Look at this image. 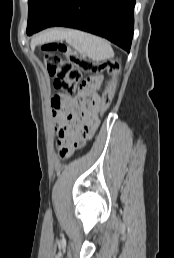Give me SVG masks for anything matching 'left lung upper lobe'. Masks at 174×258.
<instances>
[{
  "instance_id": "left-lung-upper-lobe-1",
  "label": "left lung upper lobe",
  "mask_w": 174,
  "mask_h": 258,
  "mask_svg": "<svg viewBox=\"0 0 174 258\" xmlns=\"http://www.w3.org/2000/svg\"><path fill=\"white\" fill-rule=\"evenodd\" d=\"M59 0H28L27 34L33 33Z\"/></svg>"
}]
</instances>
